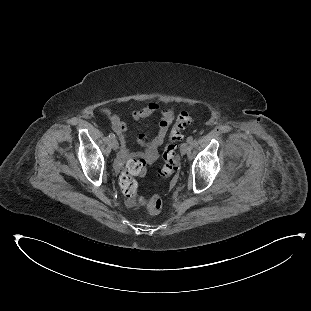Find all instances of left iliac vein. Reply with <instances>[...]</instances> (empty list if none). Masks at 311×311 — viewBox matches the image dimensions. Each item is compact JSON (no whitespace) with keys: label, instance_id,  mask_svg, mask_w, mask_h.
I'll return each instance as SVG.
<instances>
[{"label":"left iliac vein","instance_id":"left-iliac-vein-1","mask_svg":"<svg viewBox=\"0 0 311 311\" xmlns=\"http://www.w3.org/2000/svg\"><path fill=\"white\" fill-rule=\"evenodd\" d=\"M180 151L182 155H185L189 151L188 143L184 142L180 147Z\"/></svg>","mask_w":311,"mask_h":311}]
</instances>
